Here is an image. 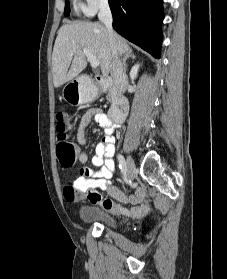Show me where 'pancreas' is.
Returning <instances> with one entry per match:
<instances>
[{
    "mask_svg": "<svg viewBox=\"0 0 227 279\" xmlns=\"http://www.w3.org/2000/svg\"><path fill=\"white\" fill-rule=\"evenodd\" d=\"M107 101L108 102H113L115 98V90L112 87H109L108 89V94H107Z\"/></svg>",
    "mask_w": 227,
    "mask_h": 279,
    "instance_id": "1",
    "label": "pancreas"
}]
</instances>
